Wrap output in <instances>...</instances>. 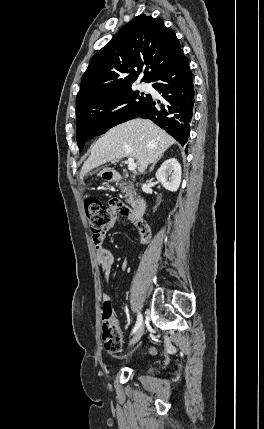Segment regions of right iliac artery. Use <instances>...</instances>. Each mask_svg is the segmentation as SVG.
<instances>
[{"label": "right iliac artery", "instance_id": "1", "mask_svg": "<svg viewBox=\"0 0 264 429\" xmlns=\"http://www.w3.org/2000/svg\"><path fill=\"white\" fill-rule=\"evenodd\" d=\"M142 321H143V317H142L141 313H138L137 322L135 324L134 329L132 330V334H134L138 330V328L142 324Z\"/></svg>", "mask_w": 264, "mask_h": 429}]
</instances>
